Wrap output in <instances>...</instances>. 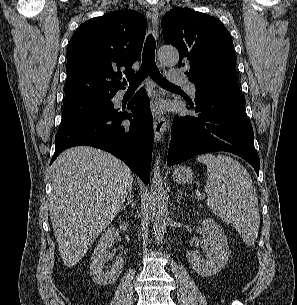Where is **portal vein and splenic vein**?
I'll return each instance as SVG.
<instances>
[{
  "label": "portal vein and splenic vein",
  "instance_id": "portal-vein-and-splenic-vein-1",
  "mask_svg": "<svg viewBox=\"0 0 297 305\" xmlns=\"http://www.w3.org/2000/svg\"><path fill=\"white\" fill-rule=\"evenodd\" d=\"M198 198H199V199L204 198V194H202V193H198Z\"/></svg>",
  "mask_w": 297,
  "mask_h": 305
}]
</instances>
